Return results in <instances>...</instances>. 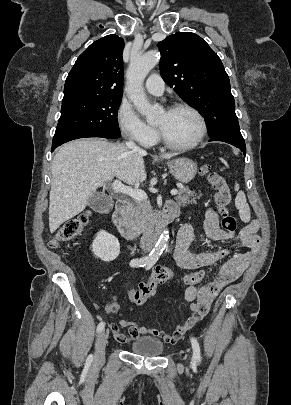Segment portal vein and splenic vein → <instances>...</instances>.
Returning a JSON list of instances; mask_svg holds the SVG:
<instances>
[{
  "label": "portal vein and splenic vein",
  "mask_w": 291,
  "mask_h": 405,
  "mask_svg": "<svg viewBox=\"0 0 291 405\" xmlns=\"http://www.w3.org/2000/svg\"><path fill=\"white\" fill-rule=\"evenodd\" d=\"M111 186L116 192L123 193L138 201H145L148 198L147 194L143 190L133 189L132 187L125 186L119 180H115ZM170 193L171 195H177L178 190L172 189Z\"/></svg>",
  "instance_id": "1"
}]
</instances>
